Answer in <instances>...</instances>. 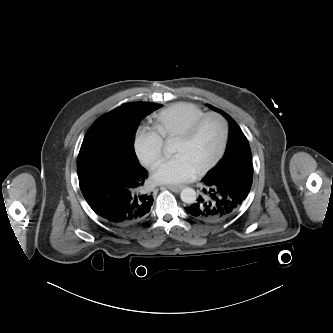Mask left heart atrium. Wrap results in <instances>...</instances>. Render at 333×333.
Returning a JSON list of instances; mask_svg holds the SVG:
<instances>
[{
	"mask_svg": "<svg viewBox=\"0 0 333 333\" xmlns=\"http://www.w3.org/2000/svg\"><path fill=\"white\" fill-rule=\"evenodd\" d=\"M198 169L184 154L161 161L154 169L152 177L160 184L176 185L196 177Z\"/></svg>",
	"mask_w": 333,
	"mask_h": 333,
	"instance_id": "1",
	"label": "left heart atrium"
}]
</instances>
